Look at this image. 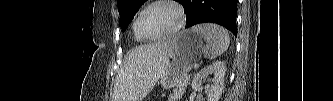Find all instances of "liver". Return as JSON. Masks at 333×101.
Here are the masks:
<instances>
[{
	"instance_id": "1",
	"label": "liver",
	"mask_w": 333,
	"mask_h": 101,
	"mask_svg": "<svg viewBox=\"0 0 333 101\" xmlns=\"http://www.w3.org/2000/svg\"><path fill=\"white\" fill-rule=\"evenodd\" d=\"M169 41L140 46L130 52L119 70L113 89V101H141L166 69Z\"/></svg>"
}]
</instances>
